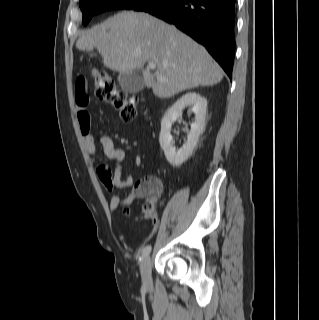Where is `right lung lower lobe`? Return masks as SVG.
Instances as JSON below:
<instances>
[{
  "instance_id": "98d812e1",
  "label": "right lung lower lobe",
  "mask_w": 319,
  "mask_h": 320,
  "mask_svg": "<svg viewBox=\"0 0 319 320\" xmlns=\"http://www.w3.org/2000/svg\"><path fill=\"white\" fill-rule=\"evenodd\" d=\"M236 0H152L137 11L148 12L205 46L232 78L235 55Z\"/></svg>"
}]
</instances>
